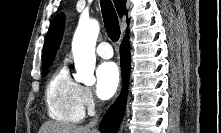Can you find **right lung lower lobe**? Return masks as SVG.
Listing matches in <instances>:
<instances>
[{"label": "right lung lower lobe", "instance_id": "right-lung-lower-lobe-1", "mask_svg": "<svg viewBox=\"0 0 221 133\" xmlns=\"http://www.w3.org/2000/svg\"><path fill=\"white\" fill-rule=\"evenodd\" d=\"M120 56H121V68H122L124 86L120 97L109 108L106 115L101 121L100 124L101 133H117L119 125L124 116L126 108V100H127V85L130 73V51L127 39H124V41L121 44Z\"/></svg>", "mask_w": 221, "mask_h": 133}]
</instances>
